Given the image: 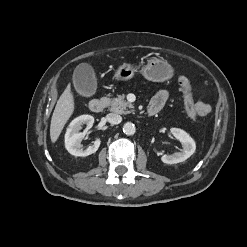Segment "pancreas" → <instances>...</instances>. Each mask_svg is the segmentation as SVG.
<instances>
[{
  "mask_svg": "<svg viewBox=\"0 0 247 247\" xmlns=\"http://www.w3.org/2000/svg\"><path fill=\"white\" fill-rule=\"evenodd\" d=\"M110 110L119 114H128L133 112V105L125 100L124 96H117L110 100Z\"/></svg>",
  "mask_w": 247,
  "mask_h": 247,
  "instance_id": "cf45deb5",
  "label": "pancreas"
}]
</instances>
